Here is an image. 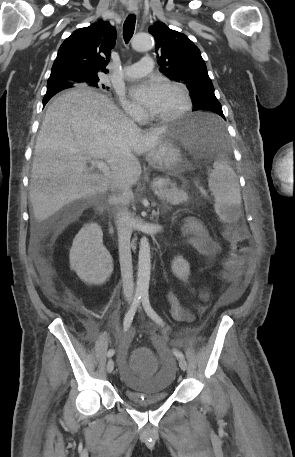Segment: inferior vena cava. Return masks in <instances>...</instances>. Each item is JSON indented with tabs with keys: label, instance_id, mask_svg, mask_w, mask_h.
I'll return each mask as SVG.
<instances>
[{
	"label": "inferior vena cava",
	"instance_id": "602c4592",
	"mask_svg": "<svg viewBox=\"0 0 295 457\" xmlns=\"http://www.w3.org/2000/svg\"><path fill=\"white\" fill-rule=\"evenodd\" d=\"M116 219L123 293L125 297L131 299L134 294L132 258L130 249L131 216L126 208H120L117 213Z\"/></svg>",
	"mask_w": 295,
	"mask_h": 457
}]
</instances>
